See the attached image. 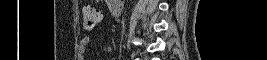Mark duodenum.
I'll return each instance as SVG.
<instances>
[{
	"label": "duodenum",
	"mask_w": 267,
	"mask_h": 60,
	"mask_svg": "<svg viewBox=\"0 0 267 60\" xmlns=\"http://www.w3.org/2000/svg\"><path fill=\"white\" fill-rule=\"evenodd\" d=\"M123 0H112L109 2V6L113 15H119L122 10Z\"/></svg>",
	"instance_id": "duodenum-1"
}]
</instances>
